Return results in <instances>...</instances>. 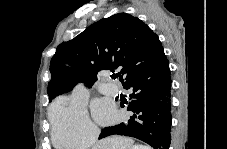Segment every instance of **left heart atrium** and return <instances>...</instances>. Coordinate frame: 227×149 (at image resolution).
I'll return each instance as SVG.
<instances>
[{
    "mask_svg": "<svg viewBox=\"0 0 227 149\" xmlns=\"http://www.w3.org/2000/svg\"><path fill=\"white\" fill-rule=\"evenodd\" d=\"M93 114L102 124L109 123L115 118L114 107L106 100H98L93 104Z\"/></svg>",
    "mask_w": 227,
    "mask_h": 149,
    "instance_id": "1",
    "label": "left heart atrium"
}]
</instances>
